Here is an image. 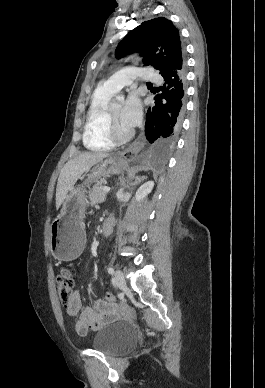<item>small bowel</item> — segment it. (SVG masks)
I'll use <instances>...</instances> for the list:
<instances>
[{"label": "small bowel", "instance_id": "small-bowel-1", "mask_svg": "<svg viewBox=\"0 0 265 388\" xmlns=\"http://www.w3.org/2000/svg\"><path fill=\"white\" fill-rule=\"evenodd\" d=\"M66 310L70 316H78L75 329L81 335L86 334L89 330L100 329L106 323L113 321L118 315L117 306L109 304L103 299H97L92 306L82 309L81 298L77 291L72 292Z\"/></svg>", "mask_w": 265, "mask_h": 388}]
</instances>
